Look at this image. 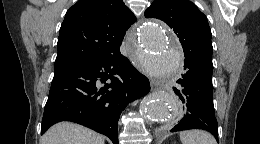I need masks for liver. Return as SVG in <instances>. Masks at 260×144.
Here are the masks:
<instances>
[{
	"instance_id": "1",
	"label": "liver",
	"mask_w": 260,
	"mask_h": 144,
	"mask_svg": "<svg viewBox=\"0 0 260 144\" xmlns=\"http://www.w3.org/2000/svg\"><path fill=\"white\" fill-rule=\"evenodd\" d=\"M102 135L70 122L52 126L42 137L41 144H104Z\"/></svg>"
}]
</instances>
